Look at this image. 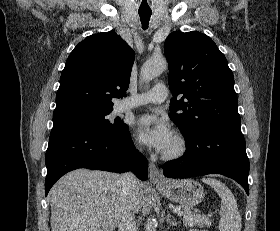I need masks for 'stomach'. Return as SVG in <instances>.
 Wrapping results in <instances>:
<instances>
[{
    "label": "stomach",
    "mask_w": 280,
    "mask_h": 231,
    "mask_svg": "<svg viewBox=\"0 0 280 231\" xmlns=\"http://www.w3.org/2000/svg\"><path fill=\"white\" fill-rule=\"evenodd\" d=\"M156 187L164 197L182 203L186 207L198 205L204 197V189L195 179H175V181L168 179L165 187L163 185H156Z\"/></svg>",
    "instance_id": "obj_1"
}]
</instances>
